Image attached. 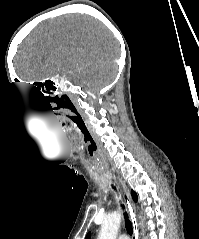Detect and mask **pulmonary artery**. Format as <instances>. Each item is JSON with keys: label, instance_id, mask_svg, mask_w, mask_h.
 <instances>
[{"label": "pulmonary artery", "instance_id": "e3ab8cb5", "mask_svg": "<svg viewBox=\"0 0 199 239\" xmlns=\"http://www.w3.org/2000/svg\"><path fill=\"white\" fill-rule=\"evenodd\" d=\"M118 239H128L127 235L123 234L118 237Z\"/></svg>", "mask_w": 199, "mask_h": 239}]
</instances>
